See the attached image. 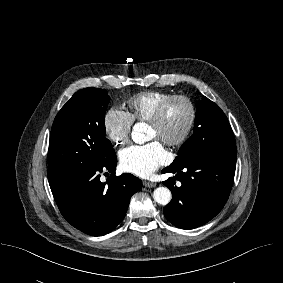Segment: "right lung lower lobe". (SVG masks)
Instances as JSON below:
<instances>
[{"label":"right lung lower lobe","instance_id":"right-lung-lower-lobe-1","mask_svg":"<svg viewBox=\"0 0 283 283\" xmlns=\"http://www.w3.org/2000/svg\"><path fill=\"white\" fill-rule=\"evenodd\" d=\"M117 157L92 169L74 172L50 188L63 217L78 230L92 236L111 232L125 217L131 196L142 186L130 173L115 176ZM109 171L106 182L100 173Z\"/></svg>","mask_w":283,"mask_h":283}]
</instances>
